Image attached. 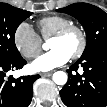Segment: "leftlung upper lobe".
Here are the masks:
<instances>
[{
	"instance_id": "5c2ea615",
	"label": "left lung upper lobe",
	"mask_w": 107,
	"mask_h": 107,
	"mask_svg": "<svg viewBox=\"0 0 107 107\" xmlns=\"http://www.w3.org/2000/svg\"><path fill=\"white\" fill-rule=\"evenodd\" d=\"M57 11L74 16L85 29L87 45L80 59L107 48V13L103 10L91 4L75 3Z\"/></svg>"
}]
</instances>
